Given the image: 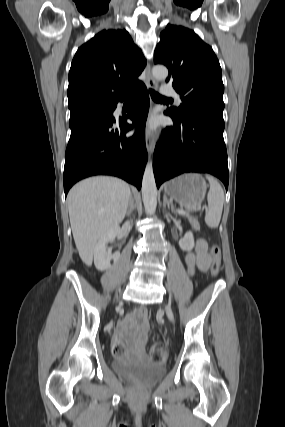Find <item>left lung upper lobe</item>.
<instances>
[{
  "label": "left lung upper lobe",
  "instance_id": "left-lung-upper-lobe-1",
  "mask_svg": "<svg viewBox=\"0 0 285 427\" xmlns=\"http://www.w3.org/2000/svg\"><path fill=\"white\" fill-rule=\"evenodd\" d=\"M154 63L169 70L167 83L180 94L182 104L168 109L177 119L198 113H213L223 117L222 71L212 48L192 30L168 24L160 34L154 53Z\"/></svg>",
  "mask_w": 285,
  "mask_h": 427
}]
</instances>
